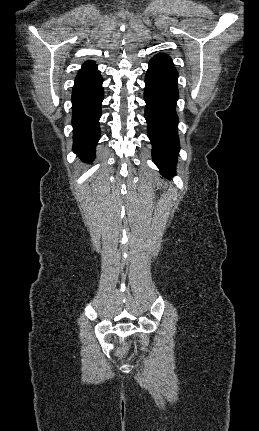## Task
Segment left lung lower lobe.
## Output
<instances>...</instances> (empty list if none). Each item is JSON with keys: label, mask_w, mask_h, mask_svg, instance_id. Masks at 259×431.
I'll list each match as a JSON object with an SVG mask.
<instances>
[{"label": "left lung lower lobe", "mask_w": 259, "mask_h": 431, "mask_svg": "<svg viewBox=\"0 0 259 431\" xmlns=\"http://www.w3.org/2000/svg\"><path fill=\"white\" fill-rule=\"evenodd\" d=\"M177 78V70L169 56L157 54L150 60L145 77V118L153 146V161L167 178L175 175L179 152L175 110L179 94Z\"/></svg>", "instance_id": "left-lung-lower-lobe-1"}]
</instances>
